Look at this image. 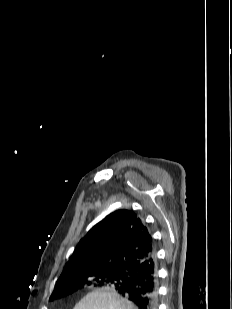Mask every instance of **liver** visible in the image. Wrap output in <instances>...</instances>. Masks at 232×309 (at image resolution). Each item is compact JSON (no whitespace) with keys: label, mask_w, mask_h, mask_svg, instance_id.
Here are the masks:
<instances>
[{"label":"liver","mask_w":232,"mask_h":309,"mask_svg":"<svg viewBox=\"0 0 232 309\" xmlns=\"http://www.w3.org/2000/svg\"><path fill=\"white\" fill-rule=\"evenodd\" d=\"M74 309H138L133 303L122 298L115 290L101 288L88 293Z\"/></svg>","instance_id":"liver-1"}]
</instances>
